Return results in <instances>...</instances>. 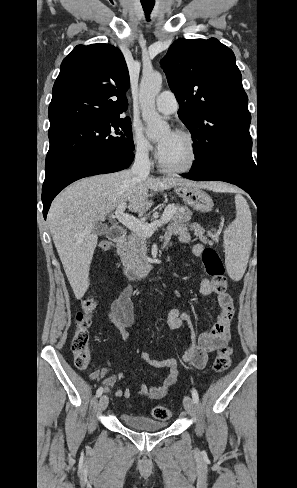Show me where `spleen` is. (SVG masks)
<instances>
[{
    "label": "spleen",
    "mask_w": 297,
    "mask_h": 488,
    "mask_svg": "<svg viewBox=\"0 0 297 488\" xmlns=\"http://www.w3.org/2000/svg\"><path fill=\"white\" fill-rule=\"evenodd\" d=\"M236 218L224 230L225 263L230 278L239 281L246 270L252 248L251 212L245 198L236 194Z\"/></svg>",
    "instance_id": "spleen-1"
}]
</instances>
